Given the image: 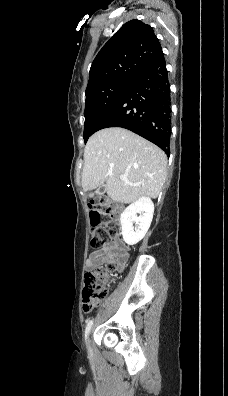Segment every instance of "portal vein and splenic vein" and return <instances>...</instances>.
Masks as SVG:
<instances>
[{
    "label": "portal vein and splenic vein",
    "mask_w": 228,
    "mask_h": 396,
    "mask_svg": "<svg viewBox=\"0 0 228 396\" xmlns=\"http://www.w3.org/2000/svg\"><path fill=\"white\" fill-rule=\"evenodd\" d=\"M121 180H123V181H125V182H127V178H126V176L125 175H120V177H119Z\"/></svg>",
    "instance_id": "portal-vein-and-splenic-vein-1"
}]
</instances>
